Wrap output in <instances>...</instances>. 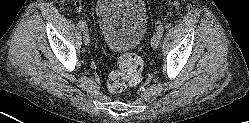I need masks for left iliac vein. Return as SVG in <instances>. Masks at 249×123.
Segmentation results:
<instances>
[{
  "label": "left iliac vein",
  "mask_w": 249,
  "mask_h": 123,
  "mask_svg": "<svg viewBox=\"0 0 249 123\" xmlns=\"http://www.w3.org/2000/svg\"><path fill=\"white\" fill-rule=\"evenodd\" d=\"M160 42H161V34L156 32L151 39L152 48L156 49L159 46Z\"/></svg>",
  "instance_id": "4c4485c4"
}]
</instances>
